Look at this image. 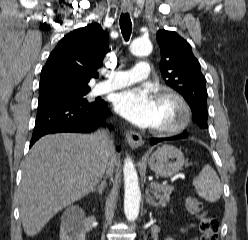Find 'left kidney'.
<instances>
[{"instance_id": "1", "label": "left kidney", "mask_w": 248, "mask_h": 240, "mask_svg": "<svg viewBox=\"0 0 248 240\" xmlns=\"http://www.w3.org/2000/svg\"><path fill=\"white\" fill-rule=\"evenodd\" d=\"M166 240H173L172 238H167Z\"/></svg>"}]
</instances>
